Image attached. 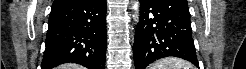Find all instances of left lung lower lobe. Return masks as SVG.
I'll list each match as a JSON object with an SVG mask.
<instances>
[{
  "label": "left lung lower lobe",
  "mask_w": 246,
  "mask_h": 69,
  "mask_svg": "<svg viewBox=\"0 0 246 69\" xmlns=\"http://www.w3.org/2000/svg\"><path fill=\"white\" fill-rule=\"evenodd\" d=\"M140 2L133 45L135 69H146L155 60L168 56L183 58L198 67L191 22L169 13L154 0Z\"/></svg>",
  "instance_id": "0a47b994"
}]
</instances>
